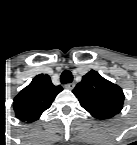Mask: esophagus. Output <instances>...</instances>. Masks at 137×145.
<instances>
[{
    "instance_id": "34e87169",
    "label": "esophagus",
    "mask_w": 137,
    "mask_h": 145,
    "mask_svg": "<svg viewBox=\"0 0 137 145\" xmlns=\"http://www.w3.org/2000/svg\"><path fill=\"white\" fill-rule=\"evenodd\" d=\"M74 86H75L74 83H67V84L64 85V87L67 88V89H73Z\"/></svg>"
}]
</instances>
